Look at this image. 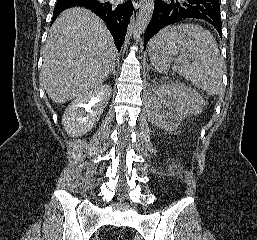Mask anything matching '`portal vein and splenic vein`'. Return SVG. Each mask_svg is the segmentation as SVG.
Segmentation results:
<instances>
[{
    "label": "portal vein and splenic vein",
    "instance_id": "obj_1",
    "mask_svg": "<svg viewBox=\"0 0 257 240\" xmlns=\"http://www.w3.org/2000/svg\"><path fill=\"white\" fill-rule=\"evenodd\" d=\"M177 61H179V62H184V59H183L182 57H178V58H177Z\"/></svg>",
    "mask_w": 257,
    "mask_h": 240
}]
</instances>
